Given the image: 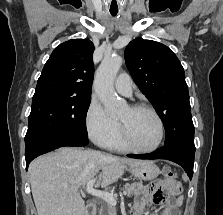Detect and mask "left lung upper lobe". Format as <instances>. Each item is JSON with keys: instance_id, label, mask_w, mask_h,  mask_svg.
Returning <instances> with one entry per match:
<instances>
[{"instance_id": "obj_1", "label": "left lung upper lobe", "mask_w": 223, "mask_h": 215, "mask_svg": "<svg viewBox=\"0 0 223 215\" xmlns=\"http://www.w3.org/2000/svg\"><path fill=\"white\" fill-rule=\"evenodd\" d=\"M125 60L135 83L163 122L165 145L194 143L188 86L177 56L159 42L137 38L126 47Z\"/></svg>"}]
</instances>
